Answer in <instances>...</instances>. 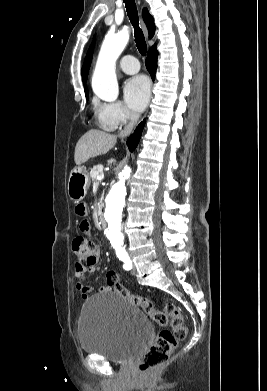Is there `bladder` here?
<instances>
[{
  "label": "bladder",
  "mask_w": 267,
  "mask_h": 391,
  "mask_svg": "<svg viewBox=\"0 0 267 391\" xmlns=\"http://www.w3.org/2000/svg\"><path fill=\"white\" fill-rule=\"evenodd\" d=\"M151 333L140 308L116 292L96 295L81 308L78 338L85 353L125 363L143 350Z\"/></svg>",
  "instance_id": "1"
}]
</instances>
